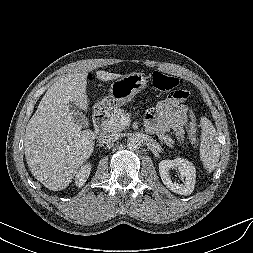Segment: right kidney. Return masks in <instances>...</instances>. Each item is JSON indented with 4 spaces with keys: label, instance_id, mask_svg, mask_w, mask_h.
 Masks as SVG:
<instances>
[{
    "label": "right kidney",
    "instance_id": "ca27d5eb",
    "mask_svg": "<svg viewBox=\"0 0 253 253\" xmlns=\"http://www.w3.org/2000/svg\"><path fill=\"white\" fill-rule=\"evenodd\" d=\"M90 170H91V165L86 164L82 166L81 169L76 173L75 183L78 187H81L82 185L85 184V182L87 181V178L90 175Z\"/></svg>",
    "mask_w": 253,
    "mask_h": 253
}]
</instances>
